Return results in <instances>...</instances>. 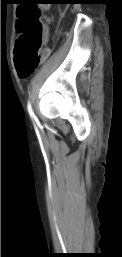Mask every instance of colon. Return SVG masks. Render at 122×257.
Returning a JSON list of instances; mask_svg holds the SVG:
<instances>
[{
  "label": "colon",
  "mask_w": 122,
  "mask_h": 257,
  "mask_svg": "<svg viewBox=\"0 0 122 257\" xmlns=\"http://www.w3.org/2000/svg\"><path fill=\"white\" fill-rule=\"evenodd\" d=\"M38 10L40 5H18L15 63L22 77L29 75L43 58L46 35Z\"/></svg>",
  "instance_id": "5ec220e1"
}]
</instances>
